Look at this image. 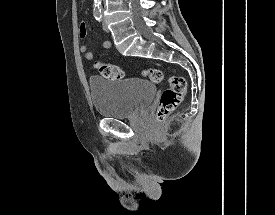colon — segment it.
<instances>
[{
	"label": "colon",
	"mask_w": 275,
	"mask_h": 215,
	"mask_svg": "<svg viewBox=\"0 0 275 215\" xmlns=\"http://www.w3.org/2000/svg\"><path fill=\"white\" fill-rule=\"evenodd\" d=\"M96 67L105 79L118 80L123 75V70L114 64L98 61ZM143 76L152 83H160L163 79L162 71L156 68L146 69ZM185 92V79L180 76H171L168 80V87L160 95L156 120L159 122L165 120L181 103Z\"/></svg>",
	"instance_id": "5ec220e1"
}]
</instances>
